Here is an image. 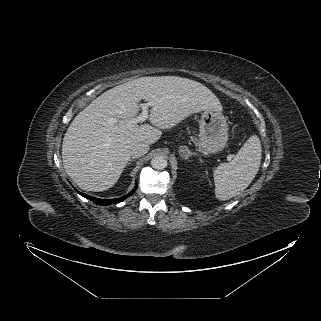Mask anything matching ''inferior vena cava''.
<instances>
[{
    "mask_svg": "<svg viewBox=\"0 0 321 321\" xmlns=\"http://www.w3.org/2000/svg\"><path fill=\"white\" fill-rule=\"evenodd\" d=\"M149 150V145L147 143L138 142L130 147V154L133 158H139L144 156Z\"/></svg>",
    "mask_w": 321,
    "mask_h": 321,
    "instance_id": "1",
    "label": "inferior vena cava"
}]
</instances>
